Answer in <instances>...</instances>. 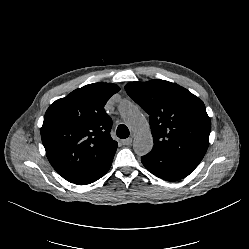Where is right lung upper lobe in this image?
Instances as JSON below:
<instances>
[{"instance_id": "cb5924a9", "label": "right lung upper lobe", "mask_w": 249, "mask_h": 249, "mask_svg": "<svg viewBox=\"0 0 249 249\" xmlns=\"http://www.w3.org/2000/svg\"><path fill=\"white\" fill-rule=\"evenodd\" d=\"M119 90L112 83L89 84L55 101L46 111L42 143L50 164L67 181L83 178L115 153L112 120L104 106Z\"/></svg>"}]
</instances>
